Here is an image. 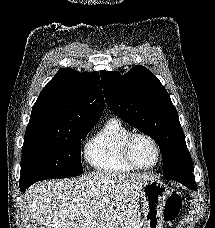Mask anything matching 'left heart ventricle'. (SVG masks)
<instances>
[{
	"label": "left heart ventricle",
	"instance_id": "b2bd125f",
	"mask_svg": "<svg viewBox=\"0 0 215 228\" xmlns=\"http://www.w3.org/2000/svg\"><path fill=\"white\" fill-rule=\"evenodd\" d=\"M135 163L141 167H149L156 161V152L152 144L145 138H138L132 148Z\"/></svg>",
	"mask_w": 215,
	"mask_h": 228
}]
</instances>
